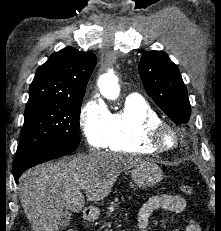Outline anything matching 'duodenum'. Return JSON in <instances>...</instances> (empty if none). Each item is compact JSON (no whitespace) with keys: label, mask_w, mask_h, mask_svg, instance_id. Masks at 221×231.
Segmentation results:
<instances>
[{"label":"duodenum","mask_w":221,"mask_h":231,"mask_svg":"<svg viewBox=\"0 0 221 231\" xmlns=\"http://www.w3.org/2000/svg\"><path fill=\"white\" fill-rule=\"evenodd\" d=\"M83 216H84V219H85L86 221H91V219H92L91 210H90V209H85V210L83 211Z\"/></svg>","instance_id":"duodenum-1"}]
</instances>
